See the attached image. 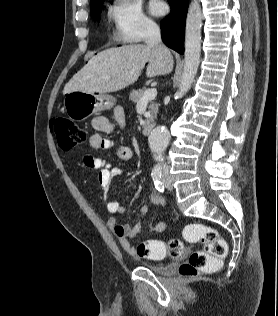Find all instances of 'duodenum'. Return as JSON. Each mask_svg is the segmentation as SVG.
I'll use <instances>...</instances> for the list:
<instances>
[{"instance_id":"duodenum-1","label":"duodenum","mask_w":278,"mask_h":316,"mask_svg":"<svg viewBox=\"0 0 278 316\" xmlns=\"http://www.w3.org/2000/svg\"><path fill=\"white\" fill-rule=\"evenodd\" d=\"M153 129H154L153 124H147L143 127L142 132L144 135H150L152 133Z\"/></svg>"}]
</instances>
